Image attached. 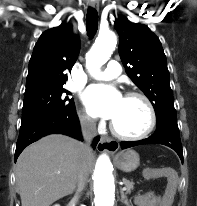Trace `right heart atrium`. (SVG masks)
Returning a JSON list of instances; mask_svg holds the SVG:
<instances>
[{"label": "right heart atrium", "mask_w": 197, "mask_h": 206, "mask_svg": "<svg viewBox=\"0 0 197 206\" xmlns=\"http://www.w3.org/2000/svg\"><path fill=\"white\" fill-rule=\"evenodd\" d=\"M79 119L81 124L87 129H92L95 125L94 118L85 110L79 112Z\"/></svg>", "instance_id": "right-heart-atrium-1"}]
</instances>
